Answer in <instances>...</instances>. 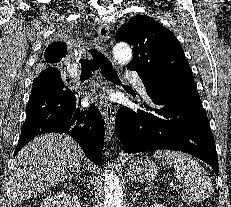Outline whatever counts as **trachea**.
Listing matches in <instances>:
<instances>
[{
    "mask_svg": "<svg viewBox=\"0 0 231 207\" xmlns=\"http://www.w3.org/2000/svg\"><path fill=\"white\" fill-rule=\"evenodd\" d=\"M89 53L91 54V59H81V77H91L92 71L96 69H101V72L103 76L114 83H120V79L117 75V73L114 71L110 61L102 54L100 51H98L97 48H91L89 50Z\"/></svg>",
    "mask_w": 231,
    "mask_h": 207,
    "instance_id": "obj_1",
    "label": "trachea"
}]
</instances>
